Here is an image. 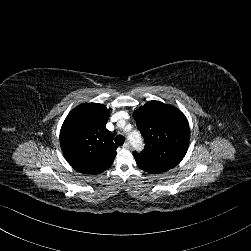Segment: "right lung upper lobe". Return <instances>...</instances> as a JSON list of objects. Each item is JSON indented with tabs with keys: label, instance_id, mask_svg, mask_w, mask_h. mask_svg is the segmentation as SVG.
<instances>
[{
	"label": "right lung upper lobe",
	"instance_id": "right-lung-upper-lobe-1",
	"mask_svg": "<svg viewBox=\"0 0 251 251\" xmlns=\"http://www.w3.org/2000/svg\"><path fill=\"white\" fill-rule=\"evenodd\" d=\"M109 110L102 104L88 103L74 108L60 131V146L67 162L78 172L100 174L110 168L117 146L106 129Z\"/></svg>",
	"mask_w": 251,
	"mask_h": 251
}]
</instances>
